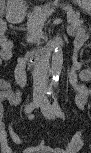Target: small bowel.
I'll return each instance as SVG.
<instances>
[{
  "label": "small bowel",
  "mask_w": 91,
  "mask_h": 153,
  "mask_svg": "<svg viewBox=\"0 0 91 153\" xmlns=\"http://www.w3.org/2000/svg\"><path fill=\"white\" fill-rule=\"evenodd\" d=\"M1 25L6 26L4 22L1 23ZM6 28H3V32H5ZM9 50H10V42H7L3 48H2V56L8 57L9 56ZM79 76V71L74 70L71 76V81L73 85L75 86L77 90V96H76V103L81 108L84 109L85 106L88 103V94L84 86L77 83V77ZM26 81V74H25V64L24 62L20 61L17 64L16 70H15V83L23 87ZM9 84L6 85V88L8 89ZM5 98L11 103V104H18L20 101V93H13L9 90H6L4 93ZM11 138L16 144H22L24 142L23 139H21L19 136H17L14 132H11ZM83 136L84 132L79 131L73 139L63 148L59 149H52L50 146L42 143L41 145L33 148H28L25 150L27 153H76L83 144ZM0 142L2 145V148L4 152L9 153L10 149L7 146V133L4 128H1L0 130Z\"/></svg>",
  "instance_id": "small-bowel-1"
}]
</instances>
